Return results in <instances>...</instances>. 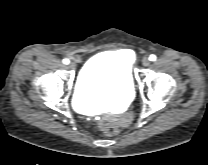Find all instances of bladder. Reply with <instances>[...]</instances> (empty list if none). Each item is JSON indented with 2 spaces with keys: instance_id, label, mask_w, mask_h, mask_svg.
Returning <instances> with one entry per match:
<instances>
[{
  "instance_id": "31cf9c89",
  "label": "bladder",
  "mask_w": 208,
  "mask_h": 165,
  "mask_svg": "<svg viewBox=\"0 0 208 165\" xmlns=\"http://www.w3.org/2000/svg\"><path fill=\"white\" fill-rule=\"evenodd\" d=\"M133 93L130 65L121 51L101 52L87 60L75 86V100L81 105L120 108L131 100Z\"/></svg>"
}]
</instances>
